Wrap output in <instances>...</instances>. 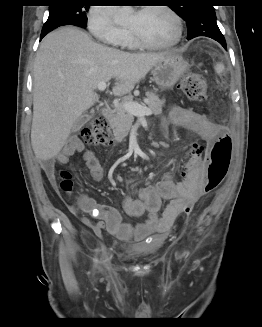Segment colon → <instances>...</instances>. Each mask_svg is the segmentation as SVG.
Segmentation results:
<instances>
[{"label":"colon","mask_w":262,"mask_h":327,"mask_svg":"<svg viewBox=\"0 0 262 327\" xmlns=\"http://www.w3.org/2000/svg\"><path fill=\"white\" fill-rule=\"evenodd\" d=\"M179 87L192 101L203 102L207 98V82L201 74L193 72L185 74L180 80ZM81 139L84 144L89 146L109 145L112 137L106 118L104 116L96 117L90 126L82 130ZM231 150V136L224 127H220L216 141L211 148L206 150L201 146L193 147V152L204 151L206 153V178L201 194L189 198L183 206L182 213L189 215L203 195L213 191L222 183L230 165ZM54 181L57 188L62 191L70 192L72 190V180L67 172H62L57 180L54 178Z\"/></svg>","instance_id":"5ec220e1"}]
</instances>
